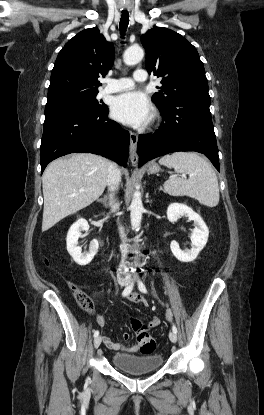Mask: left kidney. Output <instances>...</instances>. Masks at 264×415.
<instances>
[{
	"instance_id": "5707ae66",
	"label": "left kidney",
	"mask_w": 264,
	"mask_h": 415,
	"mask_svg": "<svg viewBox=\"0 0 264 415\" xmlns=\"http://www.w3.org/2000/svg\"><path fill=\"white\" fill-rule=\"evenodd\" d=\"M182 216L194 221L195 228L192 230V248L182 250L176 241L170 244L173 255L181 262H192L196 259L200 251L207 243L209 229L201 216L193 211L192 208L182 203H171L167 208V218L170 222H177Z\"/></svg>"
}]
</instances>
